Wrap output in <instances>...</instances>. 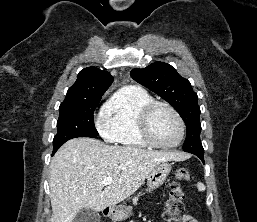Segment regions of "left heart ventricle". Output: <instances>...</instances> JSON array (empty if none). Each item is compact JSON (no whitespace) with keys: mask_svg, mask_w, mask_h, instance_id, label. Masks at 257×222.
Masks as SVG:
<instances>
[{"mask_svg":"<svg viewBox=\"0 0 257 222\" xmlns=\"http://www.w3.org/2000/svg\"><path fill=\"white\" fill-rule=\"evenodd\" d=\"M152 134L162 144H172L179 137V125L174 115L166 108H157L150 120Z\"/></svg>","mask_w":257,"mask_h":222,"instance_id":"1","label":"left heart ventricle"}]
</instances>
